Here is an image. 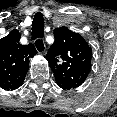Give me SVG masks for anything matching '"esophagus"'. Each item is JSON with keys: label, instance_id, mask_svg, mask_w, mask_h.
Instances as JSON below:
<instances>
[{"label": "esophagus", "instance_id": "34e87169", "mask_svg": "<svg viewBox=\"0 0 117 117\" xmlns=\"http://www.w3.org/2000/svg\"><path fill=\"white\" fill-rule=\"evenodd\" d=\"M35 48L38 51V53L40 54H44L46 52V46L45 43L42 39H37L34 42Z\"/></svg>", "mask_w": 117, "mask_h": 117}]
</instances>
